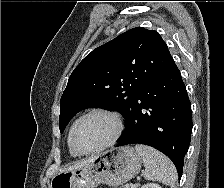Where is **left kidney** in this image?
Instances as JSON below:
<instances>
[{
	"label": "left kidney",
	"instance_id": "obj_1",
	"mask_svg": "<svg viewBox=\"0 0 224 188\" xmlns=\"http://www.w3.org/2000/svg\"><path fill=\"white\" fill-rule=\"evenodd\" d=\"M141 188H162V187L155 183H147L143 185Z\"/></svg>",
	"mask_w": 224,
	"mask_h": 188
}]
</instances>
